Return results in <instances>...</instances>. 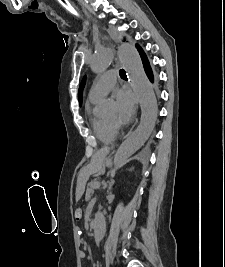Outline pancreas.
Returning <instances> with one entry per match:
<instances>
[{
  "label": "pancreas",
  "instance_id": "cf45deb5",
  "mask_svg": "<svg viewBox=\"0 0 225 267\" xmlns=\"http://www.w3.org/2000/svg\"><path fill=\"white\" fill-rule=\"evenodd\" d=\"M94 192L93 182L88 184V188L86 190V199L89 200Z\"/></svg>",
  "mask_w": 225,
  "mask_h": 267
}]
</instances>
